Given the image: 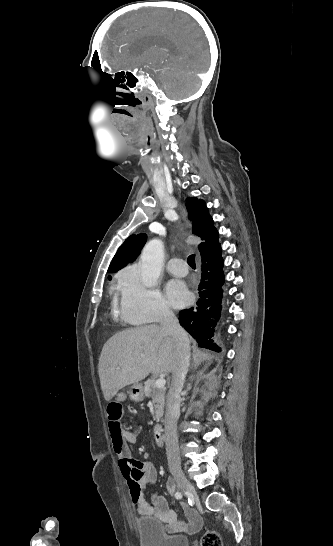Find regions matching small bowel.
Segmentation results:
<instances>
[{
    "label": "small bowel",
    "mask_w": 333,
    "mask_h": 546,
    "mask_svg": "<svg viewBox=\"0 0 333 546\" xmlns=\"http://www.w3.org/2000/svg\"><path fill=\"white\" fill-rule=\"evenodd\" d=\"M125 396L124 392H119L116 400L122 403ZM121 420L122 418H119L117 422L108 420V429L119 470L127 481L132 502L138 513L165 524L169 532L192 533L197 531L202 525V519L195 510L187 509L188 521L180 522L177 520L176 514L169 509L168 502L164 497L153 493L150 496V502L147 501L146 493L156 483L157 472L152 464L131 458L128 444L136 442L140 429L135 427L132 430H127Z\"/></svg>",
    "instance_id": "obj_1"
}]
</instances>
